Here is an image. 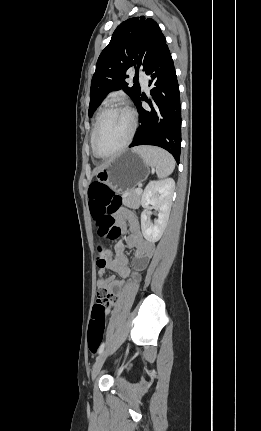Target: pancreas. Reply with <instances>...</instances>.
<instances>
[{
    "label": "pancreas",
    "mask_w": 261,
    "mask_h": 431,
    "mask_svg": "<svg viewBox=\"0 0 261 431\" xmlns=\"http://www.w3.org/2000/svg\"><path fill=\"white\" fill-rule=\"evenodd\" d=\"M141 193H137L136 189L127 191L122 196L123 205L133 209L138 208L141 204Z\"/></svg>",
    "instance_id": "cf45deb5"
}]
</instances>
